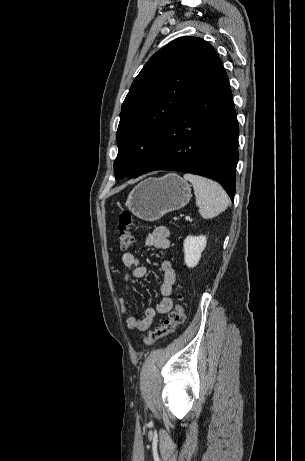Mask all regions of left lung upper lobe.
Instances as JSON below:
<instances>
[{
	"instance_id": "5c2ea615",
	"label": "left lung upper lobe",
	"mask_w": 305,
	"mask_h": 461,
	"mask_svg": "<svg viewBox=\"0 0 305 461\" xmlns=\"http://www.w3.org/2000/svg\"><path fill=\"white\" fill-rule=\"evenodd\" d=\"M218 58L205 40L180 37L149 59L122 104L116 178H136L149 171L169 122Z\"/></svg>"
}]
</instances>
